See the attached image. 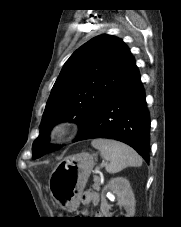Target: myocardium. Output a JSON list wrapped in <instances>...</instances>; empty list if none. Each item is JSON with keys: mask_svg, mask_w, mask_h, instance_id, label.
Wrapping results in <instances>:
<instances>
[{"mask_svg": "<svg viewBox=\"0 0 181 227\" xmlns=\"http://www.w3.org/2000/svg\"><path fill=\"white\" fill-rule=\"evenodd\" d=\"M72 132V127L67 122H58L50 130V137L55 141L65 140Z\"/></svg>", "mask_w": 181, "mask_h": 227, "instance_id": "obj_1", "label": "myocardium"}]
</instances>
